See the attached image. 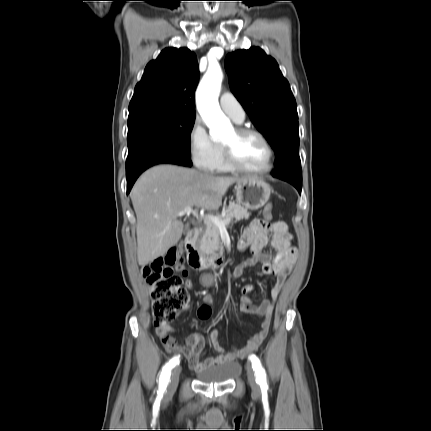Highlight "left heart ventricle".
Returning a JSON list of instances; mask_svg holds the SVG:
<instances>
[{"mask_svg": "<svg viewBox=\"0 0 431 431\" xmlns=\"http://www.w3.org/2000/svg\"><path fill=\"white\" fill-rule=\"evenodd\" d=\"M223 143L233 148L237 160L245 167L258 169L264 167L268 162V151L257 136L239 137L235 130H232L223 139Z\"/></svg>", "mask_w": 431, "mask_h": 431, "instance_id": "left-heart-ventricle-1", "label": "left heart ventricle"}]
</instances>
